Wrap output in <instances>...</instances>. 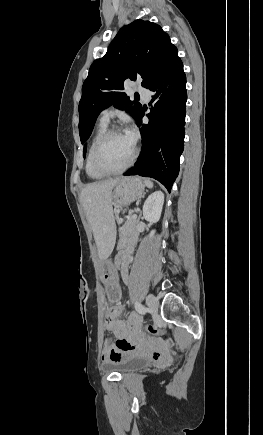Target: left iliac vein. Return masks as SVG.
<instances>
[{
	"instance_id": "4c4485c4",
	"label": "left iliac vein",
	"mask_w": 263,
	"mask_h": 435,
	"mask_svg": "<svg viewBox=\"0 0 263 435\" xmlns=\"http://www.w3.org/2000/svg\"><path fill=\"white\" fill-rule=\"evenodd\" d=\"M146 303L149 307V311L152 314L153 318L155 319L158 314V302L156 297L153 294H149L146 297Z\"/></svg>"
}]
</instances>
